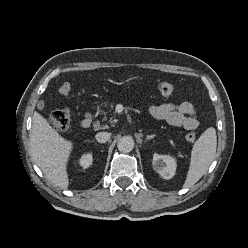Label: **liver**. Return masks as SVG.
<instances>
[{"label":"liver","instance_id":"obj_1","mask_svg":"<svg viewBox=\"0 0 248 248\" xmlns=\"http://www.w3.org/2000/svg\"><path fill=\"white\" fill-rule=\"evenodd\" d=\"M73 143L63 138L38 112H34L30 130V152L34 162L54 185H69L67 163Z\"/></svg>","mask_w":248,"mask_h":248}]
</instances>
